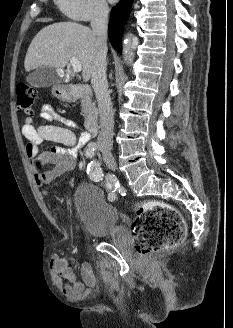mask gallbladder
Segmentation results:
<instances>
[{"instance_id": "gallbladder-1", "label": "gallbladder", "mask_w": 233, "mask_h": 328, "mask_svg": "<svg viewBox=\"0 0 233 328\" xmlns=\"http://www.w3.org/2000/svg\"><path fill=\"white\" fill-rule=\"evenodd\" d=\"M26 81L33 87H49L59 81V76L55 68L42 66L29 74Z\"/></svg>"}]
</instances>
